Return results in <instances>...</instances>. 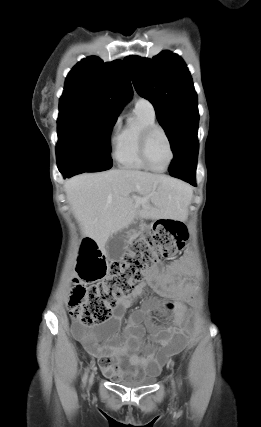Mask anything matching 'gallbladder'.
<instances>
[{
    "label": "gallbladder",
    "instance_id": "gallbladder-1",
    "mask_svg": "<svg viewBox=\"0 0 261 427\" xmlns=\"http://www.w3.org/2000/svg\"><path fill=\"white\" fill-rule=\"evenodd\" d=\"M105 249L107 256L111 260H119L125 253V245L122 242L120 235L111 236L106 242Z\"/></svg>",
    "mask_w": 261,
    "mask_h": 427
}]
</instances>
